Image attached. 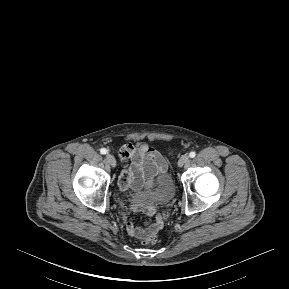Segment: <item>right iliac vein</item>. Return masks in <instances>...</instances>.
<instances>
[{"mask_svg": "<svg viewBox=\"0 0 289 289\" xmlns=\"http://www.w3.org/2000/svg\"><path fill=\"white\" fill-rule=\"evenodd\" d=\"M108 163L112 166L115 167L116 166V159L112 154H108L106 156Z\"/></svg>", "mask_w": 289, "mask_h": 289, "instance_id": "obj_1", "label": "right iliac vein"}]
</instances>
